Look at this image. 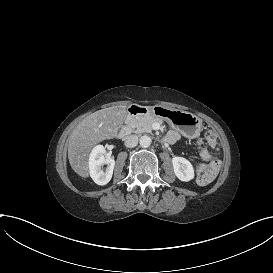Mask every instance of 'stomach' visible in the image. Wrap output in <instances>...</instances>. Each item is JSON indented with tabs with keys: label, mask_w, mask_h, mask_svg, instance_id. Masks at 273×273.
I'll return each mask as SVG.
<instances>
[{
	"label": "stomach",
	"mask_w": 273,
	"mask_h": 273,
	"mask_svg": "<svg viewBox=\"0 0 273 273\" xmlns=\"http://www.w3.org/2000/svg\"><path fill=\"white\" fill-rule=\"evenodd\" d=\"M149 115L165 120L174 130L188 139H196L203 128L202 119L195 114L161 105L146 107Z\"/></svg>",
	"instance_id": "stomach-1"
}]
</instances>
